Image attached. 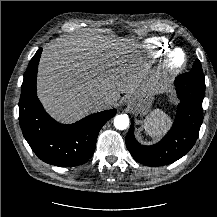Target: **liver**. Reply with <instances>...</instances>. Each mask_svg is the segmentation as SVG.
Returning a JSON list of instances; mask_svg holds the SVG:
<instances>
[{"instance_id":"6515ba94","label":"liver","mask_w":217,"mask_h":217,"mask_svg":"<svg viewBox=\"0 0 217 217\" xmlns=\"http://www.w3.org/2000/svg\"><path fill=\"white\" fill-rule=\"evenodd\" d=\"M128 48L125 42L90 34L64 35L48 43L37 77L38 96L46 111L61 123H73L93 112L92 98L110 100L105 107L109 108L121 93L154 95V85L143 80L144 73Z\"/></svg>"}]
</instances>
